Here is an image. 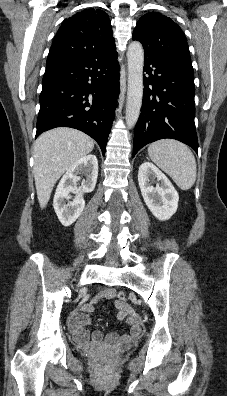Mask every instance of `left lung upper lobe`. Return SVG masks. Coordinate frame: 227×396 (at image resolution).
<instances>
[{
	"label": "left lung upper lobe",
	"instance_id": "left-lung-upper-lobe-1",
	"mask_svg": "<svg viewBox=\"0 0 227 396\" xmlns=\"http://www.w3.org/2000/svg\"><path fill=\"white\" fill-rule=\"evenodd\" d=\"M133 39L142 43L144 52L165 54L191 62L185 34L169 17L157 12L142 16Z\"/></svg>",
	"mask_w": 227,
	"mask_h": 396
}]
</instances>
